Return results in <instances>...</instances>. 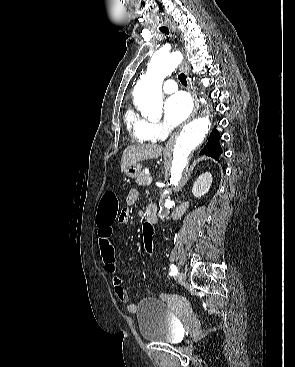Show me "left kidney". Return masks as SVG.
Returning <instances> with one entry per match:
<instances>
[{
  "label": "left kidney",
  "instance_id": "5707ae66",
  "mask_svg": "<svg viewBox=\"0 0 295 367\" xmlns=\"http://www.w3.org/2000/svg\"><path fill=\"white\" fill-rule=\"evenodd\" d=\"M212 175L210 172L201 174L194 183L192 193L195 197L200 198L208 193L212 184Z\"/></svg>",
  "mask_w": 295,
  "mask_h": 367
}]
</instances>
